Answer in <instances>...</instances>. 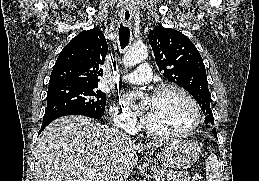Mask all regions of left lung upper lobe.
<instances>
[{"label":"left lung upper lobe","mask_w":259,"mask_h":181,"mask_svg":"<svg viewBox=\"0 0 259 181\" xmlns=\"http://www.w3.org/2000/svg\"><path fill=\"white\" fill-rule=\"evenodd\" d=\"M149 43L163 76L187 90L198 102L205 123H214L205 66L195 45L181 32L157 26L149 32ZM216 135V129L212 130Z\"/></svg>","instance_id":"obj_1"}]
</instances>
